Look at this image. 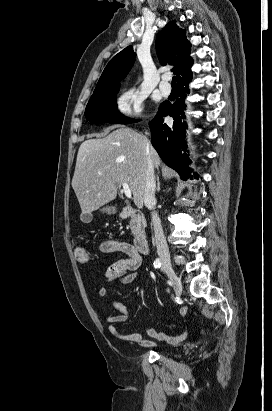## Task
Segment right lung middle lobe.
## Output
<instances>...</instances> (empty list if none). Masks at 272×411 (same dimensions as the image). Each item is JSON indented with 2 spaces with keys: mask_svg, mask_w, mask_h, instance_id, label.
<instances>
[{
  "mask_svg": "<svg viewBox=\"0 0 272 411\" xmlns=\"http://www.w3.org/2000/svg\"><path fill=\"white\" fill-rule=\"evenodd\" d=\"M119 87L120 84H112L105 88L95 89L85 109L86 118L94 123L128 124L137 122L138 120L127 118L118 111L116 94Z\"/></svg>",
  "mask_w": 272,
  "mask_h": 411,
  "instance_id": "1",
  "label": "right lung middle lobe"
}]
</instances>
